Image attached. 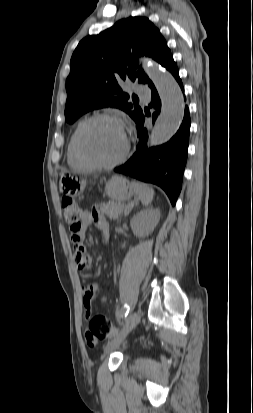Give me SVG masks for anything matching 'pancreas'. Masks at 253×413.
I'll return each instance as SVG.
<instances>
[{"label":"pancreas","mask_w":253,"mask_h":413,"mask_svg":"<svg viewBox=\"0 0 253 413\" xmlns=\"http://www.w3.org/2000/svg\"><path fill=\"white\" fill-rule=\"evenodd\" d=\"M126 205L124 204H111L110 202L108 203H103L100 206V210L107 215L109 219H118V217L122 214L123 210L126 209Z\"/></svg>","instance_id":"pancreas-1"}]
</instances>
